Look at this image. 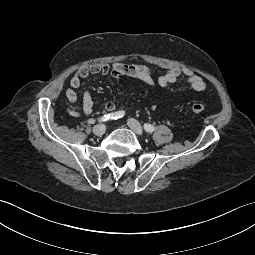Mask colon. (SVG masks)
<instances>
[{"label": "colon", "instance_id": "5ec220e1", "mask_svg": "<svg viewBox=\"0 0 255 255\" xmlns=\"http://www.w3.org/2000/svg\"><path fill=\"white\" fill-rule=\"evenodd\" d=\"M191 109L194 113L201 114L206 111V106L201 102H194L191 105Z\"/></svg>", "mask_w": 255, "mask_h": 255}]
</instances>
